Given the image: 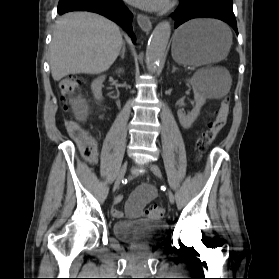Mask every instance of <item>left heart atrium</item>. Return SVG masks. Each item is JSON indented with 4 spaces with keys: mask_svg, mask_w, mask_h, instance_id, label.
Wrapping results in <instances>:
<instances>
[{
    "mask_svg": "<svg viewBox=\"0 0 279 279\" xmlns=\"http://www.w3.org/2000/svg\"><path fill=\"white\" fill-rule=\"evenodd\" d=\"M127 2L146 10H161L168 5L169 0H126Z\"/></svg>",
    "mask_w": 279,
    "mask_h": 279,
    "instance_id": "obj_1",
    "label": "left heart atrium"
}]
</instances>
